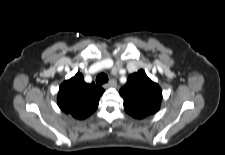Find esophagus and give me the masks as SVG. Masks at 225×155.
Segmentation results:
<instances>
[{"label": "esophagus", "mask_w": 225, "mask_h": 155, "mask_svg": "<svg viewBox=\"0 0 225 155\" xmlns=\"http://www.w3.org/2000/svg\"><path fill=\"white\" fill-rule=\"evenodd\" d=\"M116 85V80L111 79L108 83L104 85L105 88L114 87Z\"/></svg>", "instance_id": "esophagus-1"}]
</instances>
